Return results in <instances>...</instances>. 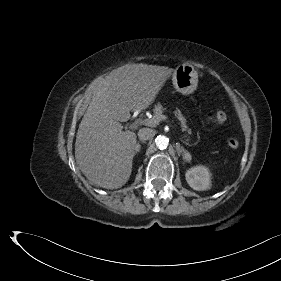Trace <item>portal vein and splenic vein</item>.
Returning a JSON list of instances; mask_svg holds the SVG:
<instances>
[{
	"label": "portal vein and splenic vein",
	"mask_w": 281,
	"mask_h": 281,
	"mask_svg": "<svg viewBox=\"0 0 281 281\" xmlns=\"http://www.w3.org/2000/svg\"><path fill=\"white\" fill-rule=\"evenodd\" d=\"M166 119H167V117L165 115H161V120H166ZM144 121H145V124H148V125H156L159 123V121L153 120V119H146Z\"/></svg>",
	"instance_id": "1"
}]
</instances>
